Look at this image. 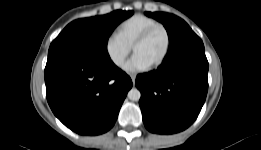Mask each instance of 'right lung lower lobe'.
Instances as JSON below:
<instances>
[{"label": "right lung lower lobe", "mask_w": 261, "mask_h": 150, "mask_svg": "<svg viewBox=\"0 0 261 150\" xmlns=\"http://www.w3.org/2000/svg\"><path fill=\"white\" fill-rule=\"evenodd\" d=\"M46 97L55 116L81 135L110 130L132 87L111 59L54 57L45 67Z\"/></svg>", "instance_id": "obj_1"}]
</instances>
